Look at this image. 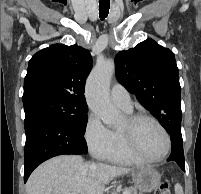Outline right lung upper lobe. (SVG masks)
Returning a JSON list of instances; mask_svg holds the SVG:
<instances>
[{"label": "right lung upper lobe", "mask_w": 201, "mask_h": 194, "mask_svg": "<svg viewBox=\"0 0 201 194\" xmlns=\"http://www.w3.org/2000/svg\"><path fill=\"white\" fill-rule=\"evenodd\" d=\"M92 67L89 51L54 44L33 55L24 79L23 103L53 96L86 105L84 86Z\"/></svg>", "instance_id": "cb5924a9"}]
</instances>
